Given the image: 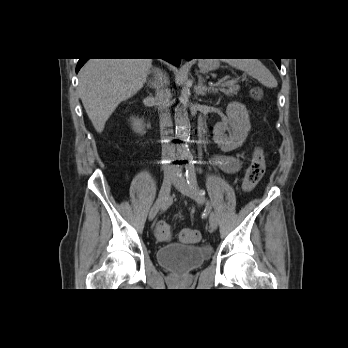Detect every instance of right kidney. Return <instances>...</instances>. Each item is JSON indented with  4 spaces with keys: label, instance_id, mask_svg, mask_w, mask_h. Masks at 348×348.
I'll use <instances>...</instances> for the list:
<instances>
[{
    "label": "right kidney",
    "instance_id": "1",
    "mask_svg": "<svg viewBox=\"0 0 348 348\" xmlns=\"http://www.w3.org/2000/svg\"><path fill=\"white\" fill-rule=\"evenodd\" d=\"M130 121H131L132 129L135 133H138V134L145 133L146 124L144 123L143 119L138 118V117L137 118L132 117V118H130Z\"/></svg>",
    "mask_w": 348,
    "mask_h": 348
}]
</instances>
